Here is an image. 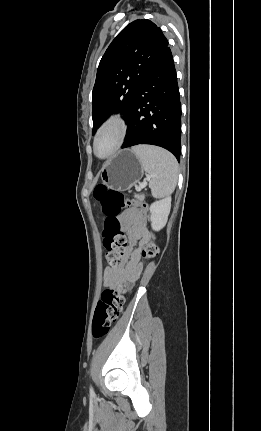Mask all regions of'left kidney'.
I'll return each instance as SVG.
<instances>
[{
  "label": "left kidney",
  "mask_w": 261,
  "mask_h": 431,
  "mask_svg": "<svg viewBox=\"0 0 261 431\" xmlns=\"http://www.w3.org/2000/svg\"><path fill=\"white\" fill-rule=\"evenodd\" d=\"M171 209V198L167 197L155 201L150 205L151 226L155 231L161 230L167 223L168 215Z\"/></svg>",
  "instance_id": "obj_1"
}]
</instances>
